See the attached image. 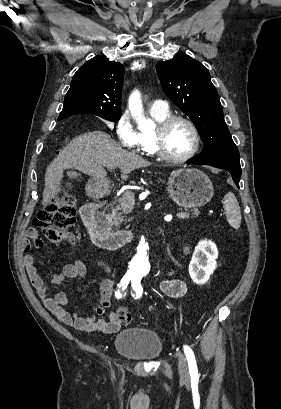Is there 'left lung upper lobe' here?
Instances as JSON below:
<instances>
[{
  "label": "left lung upper lobe",
  "mask_w": 281,
  "mask_h": 409,
  "mask_svg": "<svg viewBox=\"0 0 281 409\" xmlns=\"http://www.w3.org/2000/svg\"><path fill=\"white\" fill-rule=\"evenodd\" d=\"M156 69L165 94L197 127L204 143L197 158H239L208 70L184 53L159 62Z\"/></svg>",
  "instance_id": "1"
}]
</instances>
